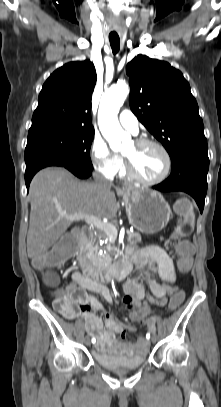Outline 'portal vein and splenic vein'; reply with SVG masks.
<instances>
[{
    "label": "portal vein and splenic vein",
    "instance_id": "obj_1",
    "mask_svg": "<svg viewBox=\"0 0 221 407\" xmlns=\"http://www.w3.org/2000/svg\"><path fill=\"white\" fill-rule=\"evenodd\" d=\"M66 218L74 221V220H85L87 224L90 226L96 227L99 230L104 231L106 234L110 236H117L118 231L117 228L109 223L103 222L99 217L90 215V214H71L65 215ZM129 231H127L128 233Z\"/></svg>",
    "mask_w": 221,
    "mask_h": 407
}]
</instances>
